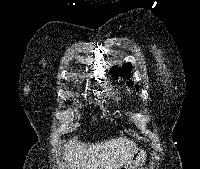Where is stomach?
<instances>
[{
	"label": "stomach",
	"instance_id": "0dacf381",
	"mask_svg": "<svg viewBox=\"0 0 200 169\" xmlns=\"http://www.w3.org/2000/svg\"><path fill=\"white\" fill-rule=\"evenodd\" d=\"M145 160V153L137 150L119 169H140Z\"/></svg>",
	"mask_w": 200,
	"mask_h": 169
}]
</instances>
